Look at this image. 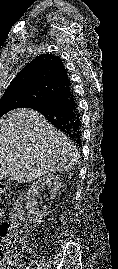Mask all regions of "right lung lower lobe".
I'll list each match as a JSON object with an SVG mask.
<instances>
[{"label":"right lung lower lobe","mask_w":118,"mask_h":269,"mask_svg":"<svg viewBox=\"0 0 118 269\" xmlns=\"http://www.w3.org/2000/svg\"><path fill=\"white\" fill-rule=\"evenodd\" d=\"M26 108L42 113L50 123L80 144L81 118L71 85Z\"/></svg>","instance_id":"obj_1"}]
</instances>
